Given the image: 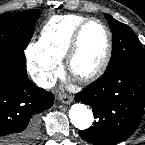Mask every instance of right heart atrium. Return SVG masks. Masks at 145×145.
<instances>
[{"instance_id": "d8ad5b80", "label": "right heart atrium", "mask_w": 145, "mask_h": 145, "mask_svg": "<svg viewBox=\"0 0 145 145\" xmlns=\"http://www.w3.org/2000/svg\"><path fill=\"white\" fill-rule=\"evenodd\" d=\"M26 58L34 78L42 86H50L60 73V60L42 51L37 43L28 46Z\"/></svg>"}]
</instances>
